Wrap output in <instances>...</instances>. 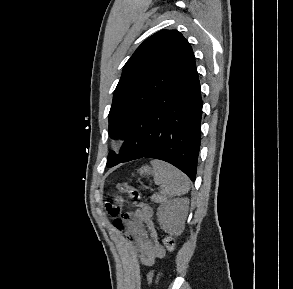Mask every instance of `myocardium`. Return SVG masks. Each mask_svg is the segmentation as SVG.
Returning a JSON list of instances; mask_svg holds the SVG:
<instances>
[{"label": "myocardium", "mask_w": 293, "mask_h": 289, "mask_svg": "<svg viewBox=\"0 0 293 289\" xmlns=\"http://www.w3.org/2000/svg\"><path fill=\"white\" fill-rule=\"evenodd\" d=\"M124 138L122 136H117L115 137L112 142H111V146L112 149L114 151H119L122 149L123 145H124Z\"/></svg>", "instance_id": "1"}]
</instances>
